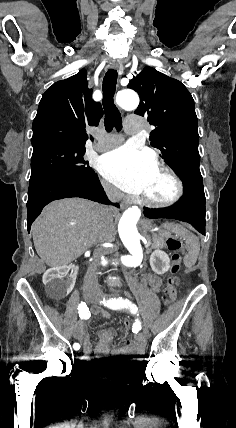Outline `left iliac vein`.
I'll return each instance as SVG.
<instances>
[{"mask_svg": "<svg viewBox=\"0 0 236 428\" xmlns=\"http://www.w3.org/2000/svg\"><path fill=\"white\" fill-rule=\"evenodd\" d=\"M98 296H99V297H101L102 299H103V298L107 299L108 297H112L113 299H115V298L117 299V298H118V297H117V296H118L117 294H115V295H113V294H108V295H106L104 292H99V293H98ZM98 296L96 297L97 299L99 298ZM104 296H105V297H104ZM107 296H108V297H107ZM147 332H148V331H147V328H145V325H142V333H145V334H146Z\"/></svg>", "mask_w": 236, "mask_h": 428, "instance_id": "1", "label": "left iliac vein"}]
</instances>
